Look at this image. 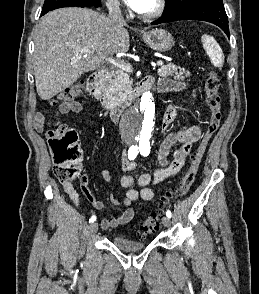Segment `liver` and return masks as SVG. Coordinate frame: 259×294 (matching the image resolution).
Segmentation results:
<instances>
[{
    "label": "liver",
    "instance_id": "1",
    "mask_svg": "<svg viewBox=\"0 0 259 294\" xmlns=\"http://www.w3.org/2000/svg\"><path fill=\"white\" fill-rule=\"evenodd\" d=\"M33 65L36 90L50 100L84 73L98 69L108 58L129 50V34L116 29L106 15L77 7L46 14L35 28ZM92 46L93 51L81 48Z\"/></svg>",
    "mask_w": 259,
    "mask_h": 294
}]
</instances>
